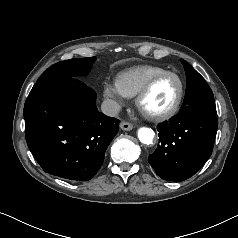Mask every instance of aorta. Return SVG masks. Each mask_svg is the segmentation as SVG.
I'll use <instances>...</instances> for the list:
<instances>
[{
	"mask_svg": "<svg viewBox=\"0 0 238 238\" xmlns=\"http://www.w3.org/2000/svg\"><path fill=\"white\" fill-rule=\"evenodd\" d=\"M137 135L141 143L149 145L153 142L155 133L151 128L141 127Z\"/></svg>",
	"mask_w": 238,
	"mask_h": 238,
	"instance_id": "obj_1",
	"label": "aorta"
}]
</instances>
